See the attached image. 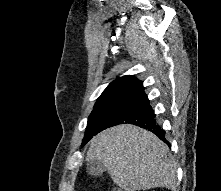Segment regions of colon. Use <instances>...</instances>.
<instances>
[{"label": "colon", "instance_id": "1", "mask_svg": "<svg viewBox=\"0 0 221 191\" xmlns=\"http://www.w3.org/2000/svg\"><path fill=\"white\" fill-rule=\"evenodd\" d=\"M113 191H120L119 189H114Z\"/></svg>", "mask_w": 221, "mask_h": 191}]
</instances>
